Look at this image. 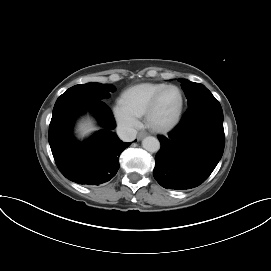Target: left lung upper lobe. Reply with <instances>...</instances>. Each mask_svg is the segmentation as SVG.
I'll return each instance as SVG.
<instances>
[{"label":"left lung upper lobe","instance_id":"5c2ea615","mask_svg":"<svg viewBox=\"0 0 271 271\" xmlns=\"http://www.w3.org/2000/svg\"><path fill=\"white\" fill-rule=\"evenodd\" d=\"M179 81L182 82L181 87L185 92L189 107L200 101L215 98L212 93L200 83L190 82L186 79H179Z\"/></svg>","mask_w":271,"mask_h":271}]
</instances>
